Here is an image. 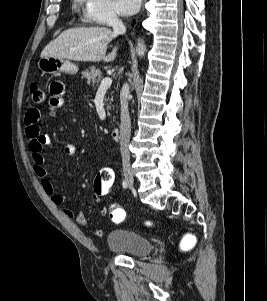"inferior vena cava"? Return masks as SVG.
Instances as JSON below:
<instances>
[{
  "instance_id": "inferior-vena-cava-1",
  "label": "inferior vena cava",
  "mask_w": 267,
  "mask_h": 301,
  "mask_svg": "<svg viewBox=\"0 0 267 301\" xmlns=\"http://www.w3.org/2000/svg\"><path fill=\"white\" fill-rule=\"evenodd\" d=\"M113 30L117 34H124L126 28L123 22L118 19L117 15H114L111 20ZM128 95L129 86L124 84L120 93V105H121V123H120V151L123 163H129L130 152H129V141L131 135V119L128 110Z\"/></svg>"
}]
</instances>
